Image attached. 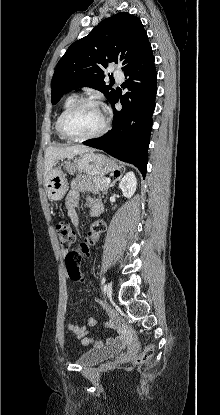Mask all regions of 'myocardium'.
<instances>
[{"label": "myocardium", "instance_id": "f54148a6", "mask_svg": "<svg viewBox=\"0 0 220 415\" xmlns=\"http://www.w3.org/2000/svg\"><path fill=\"white\" fill-rule=\"evenodd\" d=\"M85 105H94V106L98 107L101 110V112L103 113V117H104L103 125L94 134H91V135H88V136H81V137L72 136L66 130V121L72 113H74L76 110H78L79 108H81ZM108 127H109V118H108L107 112L105 111L102 103L100 101L96 100V99H93V98H83V99H79L75 103H73L70 107H68L64 111V113L62 114V116L59 120V125H58V129H59L60 134L65 139L70 140V141H74V142H83V141H88V140L99 138L107 131Z\"/></svg>", "mask_w": 220, "mask_h": 415}]
</instances>
